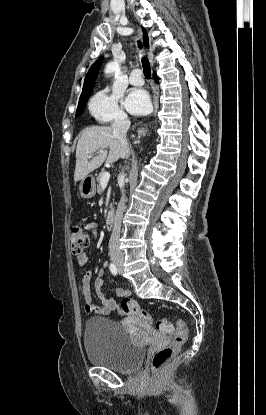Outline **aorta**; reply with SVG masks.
I'll list each match as a JSON object with an SVG mask.
<instances>
[{"label":"aorta","mask_w":266,"mask_h":415,"mask_svg":"<svg viewBox=\"0 0 266 415\" xmlns=\"http://www.w3.org/2000/svg\"><path fill=\"white\" fill-rule=\"evenodd\" d=\"M119 69V64L117 62H110L106 65L105 72L111 73Z\"/></svg>","instance_id":"obj_1"}]
</instances>
